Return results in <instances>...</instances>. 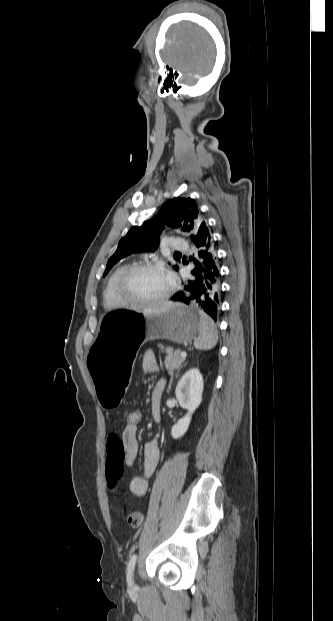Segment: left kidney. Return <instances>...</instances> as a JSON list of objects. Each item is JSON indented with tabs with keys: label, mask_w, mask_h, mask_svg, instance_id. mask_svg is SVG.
<instances>
[{
	"label": "left kidney",
	"mask_w": 333,
	"mask_h": 621,
	"mask_svg": "<svg viewBox=\"0 0 333 621\" xmlns=\"http://www.w3.org/2000/svg\"><path fill=\"white\" fill-rule=\"evenodd\" d=\"M203 388V377L197 368L190 369L178 382L175 390L176 398L188 413L172 427L171 435L174 439L182 437L187 432L192 414L202 401Z\"/></svg>",
	"instance_id": "1"
}]
</instances>
